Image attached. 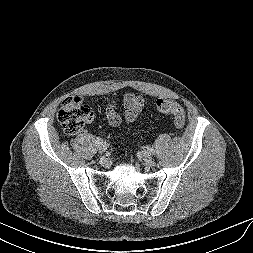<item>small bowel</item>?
Returning a JSON list of instances; mask_svg holds the SVG:
<instances>
[{"label": "small bowel", "mask_w": 253, "mask_h": 253, "mask_svg": "<svg viewBox=\"0 0 253 253\" xmlns=\"http://www.w3.org/2000/svg\"><path fill=\"white\" fill-rule=\"evenodd\" d=\"M122 106L125 108L124 121L126 123L134 122L139 116L143 106L144 99L133 93H126L122 98ZM105 114L108 122L112 126H118L122 122V118L117 112V103L115 101H111L106 106Z\"/></svg>", "instance_id": "1"}]
</instances>
